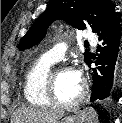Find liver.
Returning <instances> with one entry per match:
<instances>
[{"instance_id":"obj_1","label":"liver","mask_w":122,"mask_h":123,"mask_svg":"<svg viewBox=\"0 0 122 123\" xmlns=\"http://www.w3.org/2000/svg\"><path fill=\"white\" fill-rule=\"evenodd\" d=\"M63 116L61 110L22 107L14 112L11 123H56Z\"/></svg>"}]
</instances>
